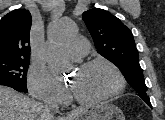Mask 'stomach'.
I'll return each instance as SVG.
<instances>
[{
	"mask_svg": "<svg viewBox=\"0 0 165 120\" xmlns=\"http://www.w3.org/2000/svg\"><path fill=\"white\" fill-rule=\"evenodd\" d=\"M75 120H125V117L117 106L100 103L85 109Z\"/></svg>",
	"mask_w": 165,
	"mask_h": 120,
	"instance_id": "0dacf381",
	"label": "stomach"
}]
</instances>
